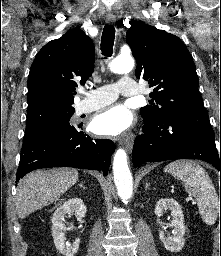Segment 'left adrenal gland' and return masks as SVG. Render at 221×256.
<instances>
[{
	"label": "left adrenal gland",
	"instance_id": "left-adrenal-gland-1",
	"mask_svg": "<svg viewBox=\"0 0 221 256\" xmlns=\"http://www.w3.org/2000/svg\"><path fill=\"white\" fill-rule=\"evenodd\" d=\"M150 186V183H146L145 185V190H147V188Z\"/></svg>",
	"mask_w": 221,
	"mask_h": 256
}]
</instances>
